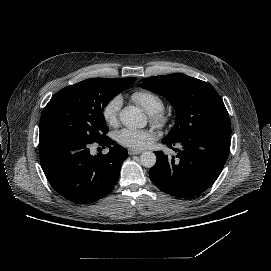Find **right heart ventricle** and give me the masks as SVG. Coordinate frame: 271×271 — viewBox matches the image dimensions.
Segmentation results:
<instances>
[{
	"mask_svg": "<svg viewBox=\"0 0 271 271\" xmlns=\"http://www.w3.org/2000/svg\"><path fill=\"white\" fill-rule=\"evenodd\" d=\"M130 97L148 113L161 110L164 107L162 97L149 89H137L131 93Z\"/></svg>",
	"mask_w": 271,
	"mask_h": 271,
	"instance_id": "1",
	"label": "right heart ventricle"
}]
</instances>
